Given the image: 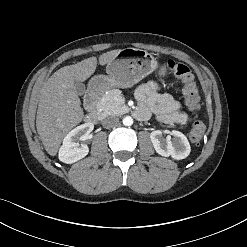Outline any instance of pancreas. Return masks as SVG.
Returning <instances> with one entry per match:
<instances>
[{
	"label": "pancreas",
	"instance_id": "obj_1",
	"mask_svg": "<svg viewBox=\"0 0 247 247\" xmlns=\"http://www.w3.org/2000/svg\"><path fill=\"white\" fill-rule=\"evenodd\" d=\"M121 96L118 89H112L106 92L97 104V110L102 115H119L126 108L122 103L115 99Z\"/></svg>",
	"mask_w": 247,
	"mask_h": 247
}]
</instances>
